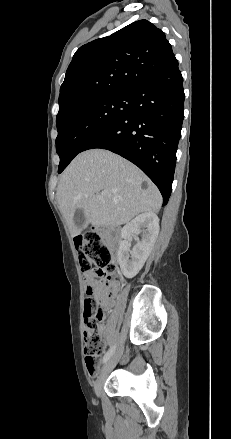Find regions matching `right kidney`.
I'll return each mask as SVG.
<instances>
[{"label": "right kidney", "mask_w": 231, "mask_h": 439, "mask_svg": "<svg viewBox=\"0 0 231 439\" xmlns=\"http://www.w3.org/2000/svg\"><path fill=\"white\" fill-rule=\"evenodd\" d=\"M143 232L141 239L131 250V237ZM159 233V218L154 213H142L136 216L122 229L123 241L118 249V262L123 275L133 278L143 267L154 246Z\"/></svg>", "instance_id": "right-kidney-1"}]
</instances>
